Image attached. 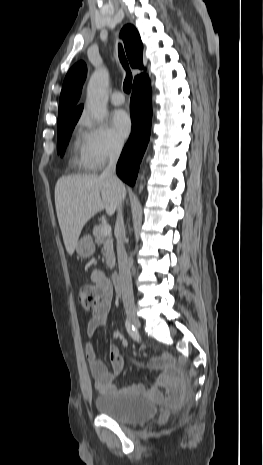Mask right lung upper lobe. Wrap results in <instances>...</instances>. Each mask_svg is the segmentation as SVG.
Masks as SVG:
<instances>
[{"label":"right lung upper lobe","mask_w":263,"mask_h":465,"mask_svg":"<svg viewBox=\"0 0 263 465\" xmlns=\"http://www.w3.org/2000/svg\"><path fill=\"white\" fill-rule=\"evenodd\" d=\"M123 39L125 50L132 68H143V45L138 31L132 25H126L120 32ZM86 65L80 61L76 63L67 73L63 82L62 91L59 101L58 122L72 116L75 113L82 112L83 105L75 106L79 100L82 86L86 78ZM145 74L135 77L134 81Z\"/></svg>","instance_id":"obj_1"}]
</instances>
